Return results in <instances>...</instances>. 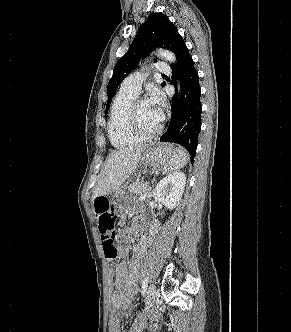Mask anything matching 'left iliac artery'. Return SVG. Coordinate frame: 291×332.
Here are the masks:
<instances>
[{
    "instance_id": "left-iliac-artery-1",
    "label": "left iliac artery",
    "mask_w": 291,
    "mask_h": 332,
    "mask_svg": "<svg viewBox=\"0 0 291 332\" xmlns=\"http://www.w3.org/2000/svg\"><path fill=\"white\" fill-rule=\"evenodd\" d=\"M147 286H148V277H145L142 282V295L145 294Z\"/></svg>"
}]
</instances>
